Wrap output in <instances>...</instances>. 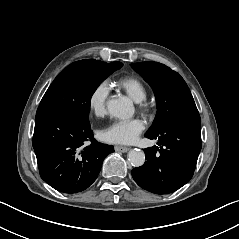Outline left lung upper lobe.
Segmentation results:
<instances>
[{
  "mask_svg": "<svg viewBox=\"0 0 239 239\" xmlns=\"http://www.w3.org/2000/svg\"><path fill=\"white\" fill-rule=\"evenodd\" d=\"M131 66L150 84L156 97L158 110L147 133L158 132L175 116L198 112L186 82L177 72L158 62L132 63Z\"/></svg>",
  "mask_w": 239,
  "mask_h": 239,
  "instance_id": "left-lung-upper-lobe-1",
  "label": "left lung upper lobe"
}]
</instances>
